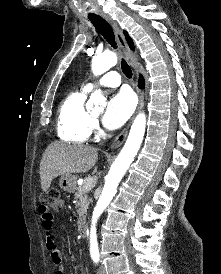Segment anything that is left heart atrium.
<instances>
[{
  "mask_svg": "<svg viewBox=\"0 0 221 274\" xmlns=\"http://www.w3.org/2000/svg\"><path fill=\"white\" fill-rule=\"evenodd\" d=\"M135 108V98L128 91H121L108 102L103 115V124L108 129L122 126L131 116Z\"/></svg>",
  "mask_w": 221,
  "mask_h": 274,
  "instance_id": "1",
  "label": "left heart atrium"
}]
</instances>
